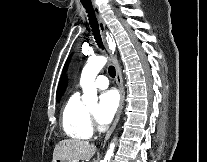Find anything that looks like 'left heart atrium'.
<instances>
[{"mask_svg": "<svg viewBox=\"0 0 207 162\" xmlns=\"http://www.w3.org/2000/svg\"><path fill=\"white\" fill-rule=\"evenodd\" d=\"M119 95L115 90H108L101 94L97 109V119L100 124L106 125L114 118L119 107Z\"/></svg>", "mask_w": 207, "mask_h": 162, "instance_id": "39dd6f15", "label": "left heart atrium"}]
</instances>
